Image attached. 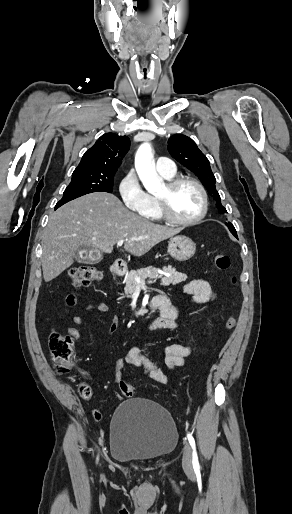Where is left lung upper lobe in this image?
<instances>
[{"mask_svg":"<svg viewBox=\"0 0 292 514\" xmlns=\"http://www.w3.org/2000/svg\"><path fill=\"white\" fill-rule=\"evenodd\" d=\"M168 151L174 159L199 177L209 194H211L216 201V207L219 212L227 213L226 209L221 204L220 196L216 190V179L211 170L209 160L199 150L196 143L185 135L175 134L168 140ZM225 224L237 238L233 224L230 222H226Z\"/></svg>","mask_w":292,"mask_h":514,"instance_id":"obj_1","label":"left lung upper lobe"}]
</instances>
